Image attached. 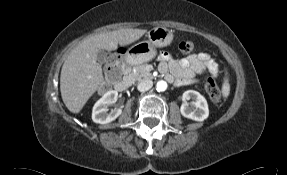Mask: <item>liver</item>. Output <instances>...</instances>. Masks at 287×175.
Listing matches in <instances>:
<instances>
[{"mask_svg":"<svg viewBox=\"0 0 287 175\" xmlns=\"http://www.w3.org/2000/svg\"><path fill=\"white\" fill-rule=\"evenodd\" d=\"M146 32L144 29H121L92 35L70 52L60 75L61 96L69 111L79 113L88 99L105 84L102 67L97 62L98 51H114L118 44L129 45Z\"/></svg>","mask_w":287,"mask_h":175,"instance_id":"6515ba94","label":"liver"}]
</instances>
